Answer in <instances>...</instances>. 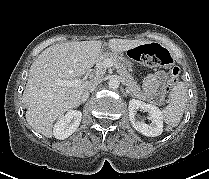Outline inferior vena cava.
Masks as SVG:
<instances>
[{"label": "inferior vena cava", "mask_w": 209, "mask_h": 179, "mask_svg": "<svg viewBox=\"0 0 209 179\" xmlns=\"http://www.w3.org/2000/svg\"><path fill=\"white\" fill-rule=\"evenodd\" d=\"M100 82L101 81L98 79H94L89 82L88 86L86 87L85 92L82 95L83 101H85L88 98L89 94L100 84Z\"/></svg>", "instance_id": "602c4592"}]
</instances>
